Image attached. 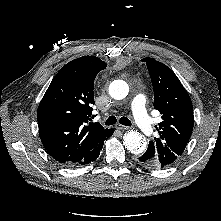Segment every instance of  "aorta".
<instances>
[{"label": "aorta", "instance_id": "762f6f07", "mask_svg": "<svg viewBox=\"0 0 221 221\" xmlns=\"http://www.w3.org/2000/svg\"><path fill=\"white\" fill-rule=\"evenodd\" d=\"M129 92L128 84L123 80H115L109 86V94L116 100L124 99ZM123 145L133 154H140L146 149V141L138 131L130 130L123 136Z\"/></svg>", "mask_w": 221, "mask_h": 221}]
</instances>
